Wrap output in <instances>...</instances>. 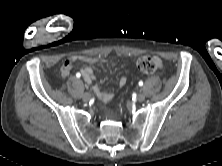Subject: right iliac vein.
<instances>
[{
    "mask_svg": "<svg viewBox=\"0 0 222 166\" xmlns=\"http://www.w3.org/2000/svg\"><path fill=\"white\" fill-rule=\"evenodd\" d=\"M91 95L89 92H86L83 94L82 98L84 101H88L90 99Z\"/></svg>",
    "mask_w": 222,
    "mask_h": 166,
    "instance_id": "obj_1",
    "label": "right iliac vein"
}]
</instances>
